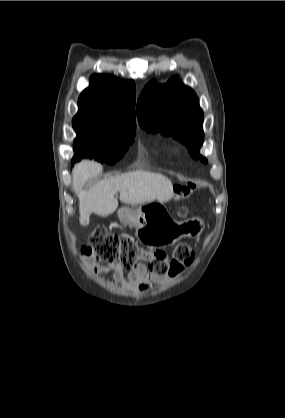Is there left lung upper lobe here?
<instances>
[{
  "instance_id": "1",
  "label": "left lung upper lobe",
  "mask_w": 285,
  "mask_h": 418,
  "mask_svg": "<svg viewBox=\"0 0 285 418\" xmlns=\"http://www.w3.org/2000/svg\"><path fill=\"white\" fill-rule=\"evenodd\" d=\"M136 112L146 131L172 135L187 146L192 157L207 163L199 154L204 141L203 111L196 94L178 77L164 85L149 83L138 99Z\"/></svg>"
}]
</instances>
